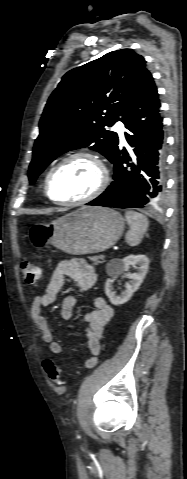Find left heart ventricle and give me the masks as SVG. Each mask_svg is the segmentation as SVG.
<instances>
[{
	"instance_id": "b2bd125f",
	"label": "left heart ventricle",
	"mask_w": 187,
	"mask_h": 479,
	"mask_svg": "<svg viewBox=\"0 0 187 479\" xmlns=\"http://www.w3.org/2000/svg\"><path fill=\"white\" fill-rule=\"evenodd\" d=\"M99 182V169L89 159L79 158L60 167L50 183L51 196L59 201H71L91 193Z\"/></svg>"
}]
</instances>
